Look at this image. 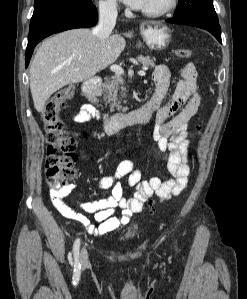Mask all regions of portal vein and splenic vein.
Wrapping results in <instances>:
<instances>
[{
	"label": "portal vein and splenic vein",
	"mask_w": 247,
	"mask_h": 299,
	"mask_svg": "<svg viewBox=\"0 0 247 299\" xmlns=\"http://www.w3.org/2000/svg\"><path fill=\"white\" fill-rule=\"evenodd\" d=\"M110 69L115 72L116 74H123L124 73V70L123 68L120 66V65H111ZM147 68H144L143 70H140L138 72L139 75L141 76H145L146 75V70Z\"/></svg>",
	"instance_id": "18ae733b"
}]
</instances>
